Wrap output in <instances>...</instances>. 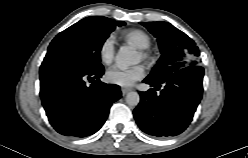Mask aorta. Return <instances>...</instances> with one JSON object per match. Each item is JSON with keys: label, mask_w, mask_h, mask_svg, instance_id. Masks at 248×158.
<instances>
[{"label": "aorta", "mask_w": 248, "mask_h": 158, "mask_svg": "<svg viewBox=\"0 0 248 158\" xmlns=\"http://www.w3.org/2000/svg\"><path fill=\"white\" fill-rule=\"evenodd\" d=\"M116 62L120 68H126L127 66L137 63V55L134 49L128 46H123L119 49ZM140 102V96L137 92H129L126 95V103L129 106H137Z\"/></svg>", "instance_id": "1"}]
</instances>
